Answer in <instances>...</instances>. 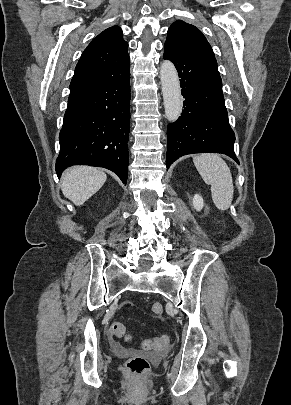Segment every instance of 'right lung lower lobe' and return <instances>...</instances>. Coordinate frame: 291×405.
Masks as SVG:
<instances>
[{"instance_id":"right-lung-lower-lobe-1","label":"right lung lower lobe","mask_w":291,"mask_h":405,"mask_svg":"<svg viewBox=\"0 0 291 405\" xmlns=\"http://www.w3.org/2000/svg\"><path fill=\"white\" fill-rule=\"evenodd\" d=\"M130 72L68 100L59 134L58 177L75 164L105 167L127 183Z\"/></svg>"}]
</instances>
